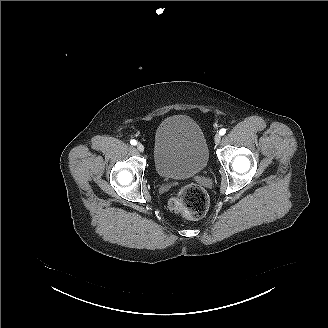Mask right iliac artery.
Returning <instances> with one entry per match:
<instances>
[{"label":"right iliac artery","mask_w":328,"mask_h":328,"mask_svg":"<svg viewBox=\"0 0 328 328\" xmlns=\"http://www.w3.org/2000/svg\"><path fill=\"white\" fill-rule=\"evenodd\" d=\"M130 143H131L132 145H137V141H136L135 139L131 140Z\"/></svg>","instance_id":"right-iliac-artery-1"}]
</instances>
